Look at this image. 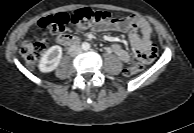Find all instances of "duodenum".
I'll list each match as a JSON object with an SVG mask.
<instances>
[{
  "label": "duodenum",
  "instance_id": "obj_1",
  "mask_svg": "<svg viewBox=\"0 0 194 133\" xmlns=\"http://www.w3.org/2000/svg\"><path fill=\"white\" fill-rule=\"evenodd\" d=\"M57 42L63 46H73L79 43V39L72 35L62 34L58 36Z\"/></svg>",
  "mask_w": 194,
  "mask_h": 133
}]
</instances>
